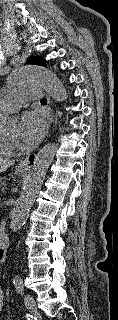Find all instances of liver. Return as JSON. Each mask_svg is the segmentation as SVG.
I'll list each match as a JSON object with an SVG mask.
<instances>
[{
    "instance_id": "6515ba94",
    "label": "liver",
    "mask_w": 118,
    "mask_h": 320,
    "mask_svg": "<svg viewBox=\"0 0 118 320\" xmlns=\"http://www.w3.org/2000/svg\"><path fill=\"white\" fill-rule=\"evenodd\" d=\"M14 163H15V160L1 159L0 158V173L6 171Z\"/></svg>"
}]
</instances>
